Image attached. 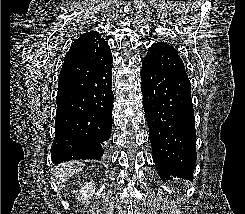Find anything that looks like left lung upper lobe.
<instances>
[{"mask_svg":"<svg viewBox=\"0 0 245 214\" xmlns=\"http://www.w3.org/2000/svg\"><path fill=\"white\" fill-rule=\"evenodd\" d=\"M142 66H148L161 72L187 77L185 66L175 48L167 43H154L149 49Z\"/></svg>","mask_w":245,"mask_h":214,"instance_id":"5c2ea615","label":"left lung upper lobe"}]
</instances>
